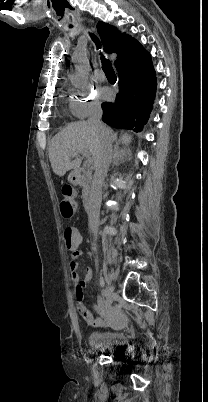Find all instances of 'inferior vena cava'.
<instances>
[{"label":"inferior vena cava","mask_w":208,"mask_h":402,"mask_svg":"<svg viewBox=\"0 0 208 402\" xmlns=\"http://www.w3.org/2000/svg\"><path fill=\"white\" fill-rule=\"evenodd\" d=\"M102 114L103 112L100 104H94V106H92L91 114L87 122L88 124H90V126H96V128H99V130H102V132H105V134H107V130L104 124H102L101 122ZM111 158L112 144L110 136H107V138H103L102 140V146L100 148L99 156L95 164L96 170L92 180V186L90 190V202L87 210L89 228L94 238H96L98 234L100 206L102 202V186L107 176L109 166L111 164Z\"/></svg>","instance_id":"obj_1"}]
</instances>
